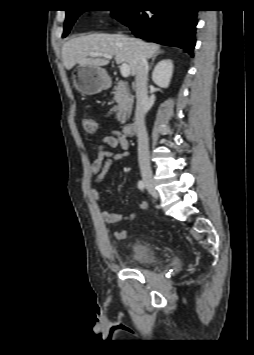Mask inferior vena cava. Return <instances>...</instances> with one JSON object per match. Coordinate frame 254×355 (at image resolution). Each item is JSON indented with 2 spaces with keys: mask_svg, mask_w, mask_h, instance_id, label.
I'll return each mask as SVG.
<instances>
[{
  "mask_svg": "<svg viewBox=\"0 0 254 355\" xmlns=\"http://www.w3.org/2000/svg\"><path fill=\"white\" fill-rule=\"evenodd\" d=\"M148 63L143 55L139 56L137 70L135 74L136 110L135 125L138 138V160L141 169H150L149 141L145 126V115L149 109V99L147 94Z\"/></svg>",
  "mask_w": 254,
  "mask_h": 355,
  "instance_id": "1",
  "label": "inferior vena cava"
}]
</instances>
